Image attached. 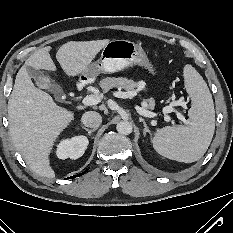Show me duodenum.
I'll return each mask as SVG.
<instances>
[{
  "mask_svg": "<svg viewBox=\"0 0 233 233\" xmlns=\"http://www.w3.org/2000/svg\"><path fill=\"white\" fill-rule=\"evenodd\" d=\"M84 87V83L83 82H79L78 83V89L81 90Z\"/></svg>",
  "mask_w": 233,
  "mask_h": 233,
  "instance_id": "duodenum-1",
  "label": "duodenum"
}]
</instances>
